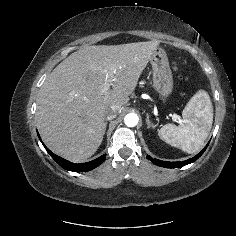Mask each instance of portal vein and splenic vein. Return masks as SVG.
Instances as JSON below:
<instances>
[{
    "label": "portal vein and splenic vein",
    "instance_id": "obj_1",
    "mask_svg": "<svg viewBox=\"0 0 236 236\" xmlns=\"http://www.w3.org/2000/svg\"><path fill=\"white\" fill-rule=\"evenodd\" d=\"M109 70H110L111 72H115V71H116V69H115L114 67H111ZM110 82H111V80H108V81L104 84V86H103V88H102V92H103V93L107 92V91L110 89V86H111Z\"/></svg>",
    "mask_w": 236,
    "mask_h": 236
}]
</instances>
